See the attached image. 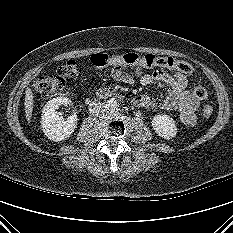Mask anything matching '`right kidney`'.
<instances>
[{
	"label": "right kidney",
	"mask_w": 233,
	"mask_h": 233,
	"mask_svg": "<svg viewBox=\"0 0 233 233\" xmlns=\"http://www.w3.org/2000/svg\"><path fill=\"white\" fill-rule=\"evenodd\" d=\"M71 104L67 97H57L48 101L43 107L41 126L45 135L52 141H62L68 138L77 127V115L73 114L64 120L57 109L60 105Z\"/></svg>",
	"instance_id": "obj_1"
}]
</instances>
